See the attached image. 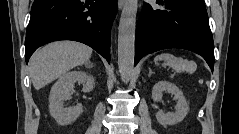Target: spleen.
Listing matches in <instances>:
<instances>
[{
  "label": "spleen",
  "instance_id": "3e777b00",
  "mask_svg": "<svg viewBox=\"0 0 239 134\" xmlns=\"http://www.w3.org/2000/svg\"><path fill=\"white\" fill-rule=\"evenodd\" d=\"M159 61H164L163 65L171 67L176 72H187L192 74L196 71L197 65L193 61L176 57L169 53H162L155 58L156 64Z\"/></svg>",
  "mask_w": 239,
  "mask_h": 134
}]
</instances>
